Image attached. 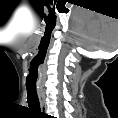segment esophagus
Masks as SVG:
<instances>
[{"label": "esophagus", "mask_w": 118, "mask_h": 118, "mask_svg": "<svg viewBox=\"0 0 118 118\" xmlns=\"http://www.w3.org/2000/svg\"><path fill=\"white\" fill-rule=\"evenodd\" d=\"M38 97H39V101H40L41 112L44 113V112H46V109H47L44 91L39 90Z\"/></svg>", "instance_id": "34e87169"}]
</instances>
